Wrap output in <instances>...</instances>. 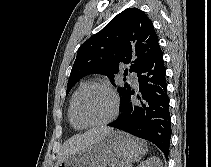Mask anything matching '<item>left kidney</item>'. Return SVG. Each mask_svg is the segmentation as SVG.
<instances>
[{"mask_svg":"<svg viewBox=\"0 0 211 167\" xmlns=\"http://www.w3.org/2000/svg\"><path fill=\"white\" fill-rule=\"evenodd\" d=\"M138 167H163V165L159 158L152 157L142 162Z\"/></svg>","mask_w":211,"mask_h":167,"instance_id":"left-kidney-1","label":"left kidney"}]
</instances>
